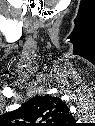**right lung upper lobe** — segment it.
<instances>
[{
	"instance_id": "right-lung-upper-lobe-1",
	"label": "right lung upper lobe",
	"mask_w": 95,
	"mask_h": 126,
	"mask_svg": "<svg viewBox=\"0 0 95 126\" xmlns=\"http://www.w3.org/2000/svg\"><path fill=\"white\" fill-rule=\"evenodd\" d=\"M6 117L20 126H71L74 122L65 102L50 95L35 96Z\"/></svg>"
}]
</instances>
